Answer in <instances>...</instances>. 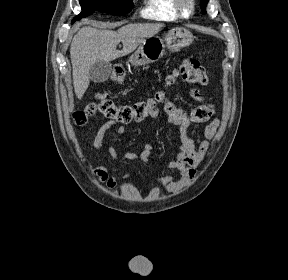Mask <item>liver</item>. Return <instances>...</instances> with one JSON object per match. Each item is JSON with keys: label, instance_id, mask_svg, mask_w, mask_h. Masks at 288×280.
<instances>
[{"label": "liver", "instance_id": "liver-1", "mask_svg": "<svg viewBox=\"0 0 288 280\" xmlns=\"http://www.w3.org/2000/svg\"><path fill=\"white\" fill-rule=\"evenodd\" d=\"M163 23L127 24L117 31L83 27L74 36L70 57L74 91L78 99L86 92L89 83L90 67L98 60L113 61L133 52L145 39L156 35ZM122 42L123 49L117 50Z\"/></svg>", "mask_w": 288, "mask_h": 280}]
</instances>
